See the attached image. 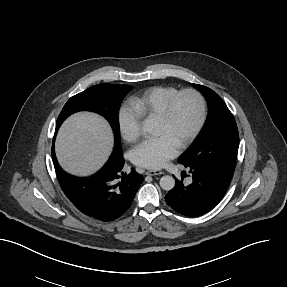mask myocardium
<instances>
[{"label":"myocardium","instance_id":"myocardium-1","mask_svg":"<svg viewBox=\"0 0 287 287\" xmlns=\"http://www.w3.org/2000/svg\"><path fill=\"white\" fill-rule=\"evenodd\" d=\"M185 95H191L192 97L195 98L198 104V108H199V116L193 129L190 131L188 136L178 146L179 150H184L187 147H189L194 142V140L197 138V136L199 135L200 131L202 130L205 124V121L207 118V107H206V102H205L203 95L199 91L195 89H191V88L178 91L167 100L162 112L156 118L157 122H160L162 124H168L171 119L173 108L176 102L182 96H185Z\"/></svg>","mask_w":287,"mask_h":287}]
</instances>
